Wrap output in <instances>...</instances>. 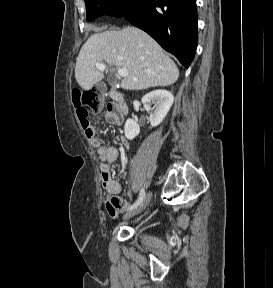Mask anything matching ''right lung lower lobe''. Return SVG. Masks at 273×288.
I'll use <instances>...</instances> for the list:
<instances>
[{
	"instance_id": "1",
	"label": "right lung lower lobe",
	"mask_w": 273,
	"mask_h": 288,
	"mask_svg": "<svg viewBox=\"0 0 273 288\" xmlns=\"http://www.w3.org/2000/svg\"><path fill=\"white\" fill-rule=\"evenodd\" d=\"M122 17L189 67L198 41L196 0H137Z\"/></svg>"
}]
</instances>
